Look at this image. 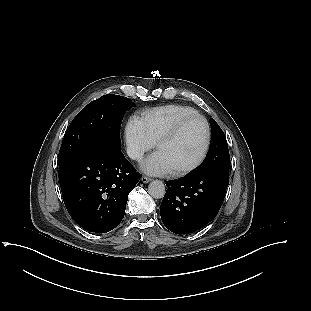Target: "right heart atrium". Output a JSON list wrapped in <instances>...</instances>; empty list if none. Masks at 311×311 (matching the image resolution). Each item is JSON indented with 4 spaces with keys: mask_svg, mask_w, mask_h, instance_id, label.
<instances>
[{
    "mask_svg": "<svg viewBox=\"0 0 311 311\" xmlns=\"http://www.w3.org/2000/svg\"><path fill=\"white\" fill-rule=\"evenodd\" d=\"M127 153L134 161H141L145 153L154 147L141 119L130 117L124 128Z\"/></svg>",
    "mask_w": 311,
    "mask_h": 311,
    "instance_id": "1",
    "label": "right heart atrium"
}]
</instances>
